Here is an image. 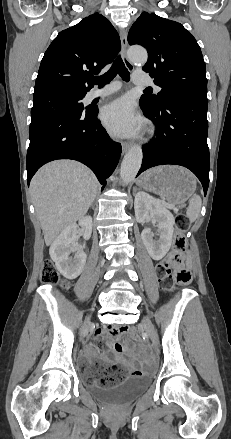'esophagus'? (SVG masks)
Returning a JSON list of instances; mask_svg holds the SVG:
<instances>
[{"instance_id":"34e87169","label":"esophagus","mask_w":231,"mask_h":439,"mask_svg":"<svg viewBox=\"0 0 231 439\" xmlns=\"http://www.w3.org/2000/svg\"><path fill=\"white\" fill-rule=\"evenodd\" d=\"M120 39H121V46H122V59H123V62H124L125 66L127 67V69L129 71H133L134 70V66L129 61V59L127 57L128 41H127V32L125 30H120ZM129 147H130L129 143L123 142L122 143V151H123V153H125L129 149Z\"/></svg>"}]
</instances>
